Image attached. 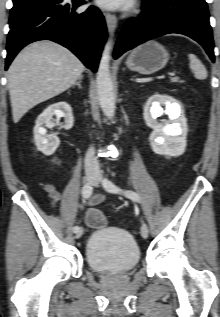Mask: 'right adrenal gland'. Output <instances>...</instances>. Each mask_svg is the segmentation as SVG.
Instances as JSON below:
<instances>
[{
  "instance_id": "2a0ac1e0",
  "label": "right adrenal gland",
  "mask_w": 220,
  "mask_h": 317,
  "mask_svg": "<svg viewBox=\"0 0 220 317\" xmlns=\"http://www.w3.org/2000/svg\"><path fill=\"white\" fill-rule=\"evenodd\" d=\"M83 75H81V77L78 79V81L73 85V86H78L80 89L82 88V86H81V82H82V79H83Z\"/></svg>"
}]
</instances>
